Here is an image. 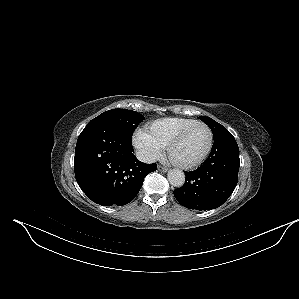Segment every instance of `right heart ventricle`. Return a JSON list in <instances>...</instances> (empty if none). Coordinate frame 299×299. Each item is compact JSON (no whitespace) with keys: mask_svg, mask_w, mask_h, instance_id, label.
<instances>
[{"mask_svg":"<svg viewBox=\"0 0 299 299\" xmlns=\"http://www.w3.org/2000/svg\"><path fill=\"white\" fill-rule=\"evenodd\" d=\"M195 122L197 120L190 118L165 117L150 122L146 126V131L162 147H165L179 131Z\"/></svg>","mask_w":299,"mask_h":299,"instance_id":"1","label":"right heart ventricle"}]
</instances>
